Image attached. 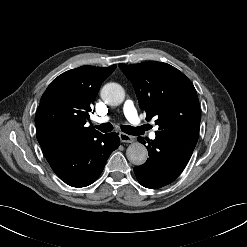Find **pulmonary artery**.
Listing matches in <instances>:
<instances>
[{
  "mask_svg": "<svg viewBox=\"0 0 247 247\" xmlns=\"http://www.w3.org/2000/svg\"><path fill=\"white\" fill-rule=\"evenodd\" d=\"M123 111H124V114L127 118V120L132 123L133 125L137 126V125H140L141 124V119L138 115V112L136 110V107L134 105V102L131 101V100H127L125 103H124V106H123ZM109 120L108 117H101V118H97L96 119V122L98 123H104V122H107ZM156 131L157 129L151 131L149 133V137L150 139H155L156 137Z\"/></svg>",
  "mask_w": 247,
  "mask_h": 247,
  "instance_id": "e3ab8cb5",
  "label": "pulmonary artery"
}]
</instances>
